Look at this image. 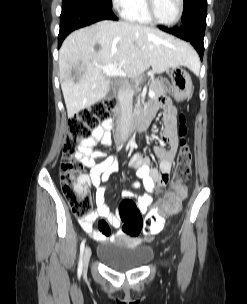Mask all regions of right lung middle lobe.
Wrapping results in <instances>:
<instances>
[{
	"label": "right lung middle lobe",
	"mask_w": 247,
	"mask_h": 304,
	"mask_svg": "<svg viewBox=\"0 0 247 304\" xmlns=\"http://www.w3.org/2000/svg\"><path fill=\"white\" fill-rule=\"evenodd\" d=\"M79 1L89 3V4L105 6L110 9L112 8V0H79Z\"/></svg>",
	"instance_id": "right-lung-middle-lobe-1"
}]
</instances>
